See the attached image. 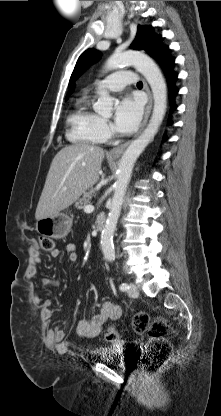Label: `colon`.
<instances>
[{
	"instance_id": "colon-1",
	"label": "colon",
	"mask_w": 221,
	"mask_h": 416,
	"mask_svg": "<svg viewBox=\"0 0 221 416\" xmlns=\"http://www.w3.org/2000/svg\"><path fill=\"white\" fill-rule=\"evenodd\" d=\"M39 243L43 251L54 250V241L49 237H41ZM132 327L138 334L149 333L150 341L146 346L141 366L146 374H157L171 355L172 347L166 338L172 333L171 325L162 317L151 320L146 312L140 311L134 315ZM104 337L109 342H116L119 339L118 331L109 327L104 331Z\"/></svg>"
}]
</instances>
